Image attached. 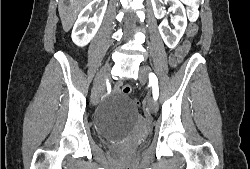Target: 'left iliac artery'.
I'll return each mask as SVG.
<instances>
[{
	"instance_id": "1",
	"label": "left iliac artery",
	"mask_w": 250,
	"mask_h": 169,
	"mask_svg": "<svg viewBox=\"0 0 250 169\" xmlns=\"http://www.w3.org/2000/svg\"><path fill=\"white\" fill-rule=\"evenodd\" d=\"M149 84L153 88V98L154 100H157L159 96V88H158V79L154 73L149 74Z\"/></svg>"
}]
</instances>
